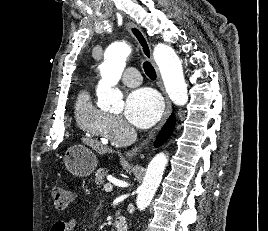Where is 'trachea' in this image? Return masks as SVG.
Returning a JSON list of instances; mask_svg holds the SVG:
<instances>
[{
  "label": "trachea",
  "instance_id": "3493384b",
  "mask_svg": "<svg viewBox=\"0 0 268 231\" xmlns=\"http://www.w3.org/2000/svg\"><path fill=\"white\" fill-rule=\"evenodd\" d=\"M143 68H144V71H145L146 75L150 79L154 80L156 78L155 69H154V67L149 62H144Z\"/></svg>",
  "mask_w": 268,
  "mask_h": 231
}]
</instances>
